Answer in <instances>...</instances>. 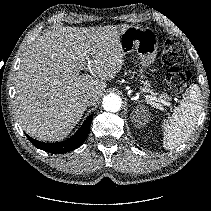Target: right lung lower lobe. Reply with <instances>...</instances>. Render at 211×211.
Returning a JSON list of instances; mask_svg holds the SVG:
<instances>
[{"mask_svg":"<svg viewBox=\"0 0 211 211\" xmlns=\"http://www.w3.org/2000/svg\"><path fill=\"white\" fill-rule=\"evenodd\" d=\"M93 114H91L80 129L69 139L58 142V143H44L38 140L31 138L30 136L26 135L30 142L38 149L44 150L46 152H50L53 154H62L67 153L69 151H73L80 147L82 143L86 140L89 131H90V124L92 120Z\"/></svg>","mask_w":211,"mask_h":211,"instance_id":"right-lung-lower-lobe-1","label":"right lung lower lobe"}]
</instances>
